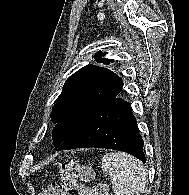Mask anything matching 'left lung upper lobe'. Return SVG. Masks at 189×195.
<instances>
[{
    "label": "left lung upper lobe",
    "mask_w": 189,
    "mask_h": 195,
    "mask_svg": "<svg viewBox=\"0 0 189 195\" xmlns=\"http://www.w3.org/2000/svg\"><path fill=\"white\" fill-rule=\"evenodd\" d=\"M99 51L97 57L104 56ZM111 59H97L109 64ZM123 81L107 68L88 64L70 76L63 91L55 100L51 119L57 123L53 130V144L58 147L76 128L84 123L107 101L119 94Z\"/></svg>",
    "instance_id": "1"
}]
</instances>
